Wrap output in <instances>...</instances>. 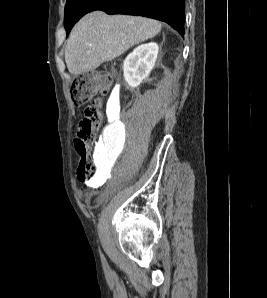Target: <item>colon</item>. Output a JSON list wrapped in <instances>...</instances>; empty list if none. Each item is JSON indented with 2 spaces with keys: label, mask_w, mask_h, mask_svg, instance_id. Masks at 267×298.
I'll list each match as a JSON object with an SVG mask.
<instances>
[{
  "label": "colon",
  "mask_w": 267,
  "mask_h": 298,
  "mask_svg": "<svg viewBox=\"0 0 267 298\" xmlns=\"http://www.w3.org/2000/svg\"><path fill=\"white\" fill-rule=\"evenodd\" d=\"M110 77L107 74L86 72L77 76L70 88V97L75 106H81L95 99L86 108L84 118L79 122L74 147L79 157L77 169L81 181H91L97 177V157L89 152V143L95 141L97 132L103 121L102 100L110 88Z\"/></svg>",
  "instance_id": "1"
}]
</instances>
